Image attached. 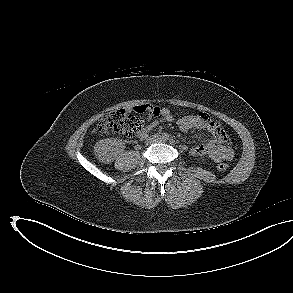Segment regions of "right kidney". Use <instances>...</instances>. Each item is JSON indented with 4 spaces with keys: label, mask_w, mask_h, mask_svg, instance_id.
<instances>
[{
    "label": "right kidney",
    "mask_w": 293,
    "mask_h": 293,
    "mask_svg": "<svg viewBox=\"0 0 293 293\" xmlns=\"http://www.w3.org/2000/svg\"><path fill=\"white\" fill-rule=\"evenodd\" d=\"M123 142L117 139H103L94 146V154L102 163H110L116 157V151L123 148Z\"/></svg>",
    "instance_id": "1"
}]
</instances>
